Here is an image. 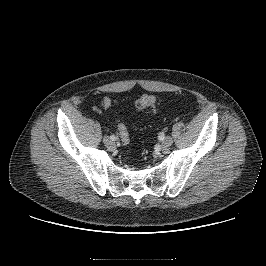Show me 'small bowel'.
I'll return each mask as SVG.
<instances>
[{
    "instance_id": "small-bowel-1",
    "label": "small bowel",
    "mask_w": 266,
    "mask_h": 266,
    "mask_svg": "<svg viewBox=\"0 0 266 266\" xmlns=\"http://www.w3.org/2000/svg\"><path fill=\"white\" fill-rule=\"evenodd\" d=\"M112 101L109 98H106L102 101V107L107 108L111 105Z\"/></svg>"
}]
</instances>
